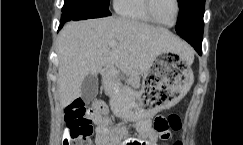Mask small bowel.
Masks as SVG:
<instances>
[{
  "label": "small bowel",
  "instance_id": "1",
  "mask_svg": "<svg viewBox=\"0 0 243 145\" xmlns=\"http://www.w3.org/2000/svg\"><path fill=\"white\" fill-rule=\"evenodd\" d=\"M93 120L97 126L107 125V106L97 101L93 105ZM137 136H128L127 130L124 127H116L112 130H107L105 134L97 133L95 137L96 145H162L161 140L169 138L162 137L154 127L149 118L143 117L136 123ZM63 145H71V136L66 128L62 136Z\"/></svg>",
  "mask_w": 243,
  "mask_h": 145
}]
</instances>
